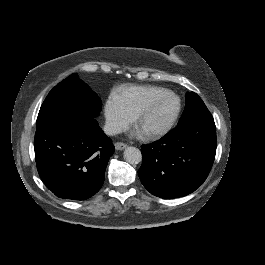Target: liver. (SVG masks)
<instances>
[{
  "instance_id": "6515ba94",
  "label": "liver",
  "mask_w": 265,
  "mask_h": 265,
  "mask_svg": "<svg viewBox=\"0 0 265 265\" xmlns=\"http://www.w3.org/2000/svg\"><path fill=\"white\" fill-rule=\"evenodd\" d=\"M65 115L68 118H75L76 117L75 110L72 108H69V107L65 108Z\"/></svg>"
}]
</instances>
